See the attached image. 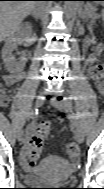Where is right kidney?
<instances>
[{
  "instance_id": "ca27d5eb",
  "label": "right kidney",
  "mask_w": 104,
  "mask_h": 189,
  "mask_svg": "<svg viewBox=\"0 0 104 189\" xmlns=\"http://www.w3.org/2000/svg\"><path fill=\"white\" fill-rule=\"evenodd\" d=\"M31 31V27L25 25L20 27L16 33L6 39L5 45L1 51V57L5 63L7 71L10 73L19 72L24 68L26 63V57L24 54H22L19 59H16L13 52L17 51L18 45L23 43L30 36Z\"/></svg>"
}]
</instances>
